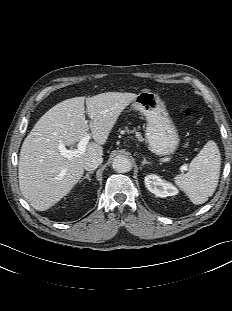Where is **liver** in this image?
Listing matches in <instances>:
<instances>
[{"mask_svg":"<svg viewBox=\"0 0 232 311\" xmlns=\"http://www.w3.org/2000/svg\"><path fill=\"white\" fill-rule=\"evenodd\" d=\"M136 97L121 92L75 97L56 104L37 121L22 144L18 163L20 190L34 209L45 211L71 191L84 174L86 160L103 155L101 145L121 112ZM89 129L94 142L87 144L84 153L70 159L60 154V143L71 146Z\"/></svg>","mask_w":232,"mask_h":311,"instance_id":"1","label":"liver"}]
</instances>
